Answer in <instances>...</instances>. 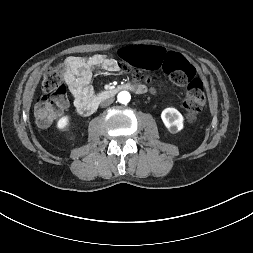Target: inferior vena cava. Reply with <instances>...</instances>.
I'll return each instance as SVG.
<instances>
[{"instance_id":"602c4592","label":"inferior vena cava","mask_w":253,"mask_h":253,"mask_svg":"<svg viewBox=\"0 0 253 253\" xmlns=\"http://www.w3.org/2000/svg\"><path fill=\"white\" fill-rule=\"evenodd\" d=\"M113 101H114V100H113L112 98L107 99V100H105V101H103V102L101 103V107H107V106H109L110 104H112Z\"/></svg>"}]
</instances>
